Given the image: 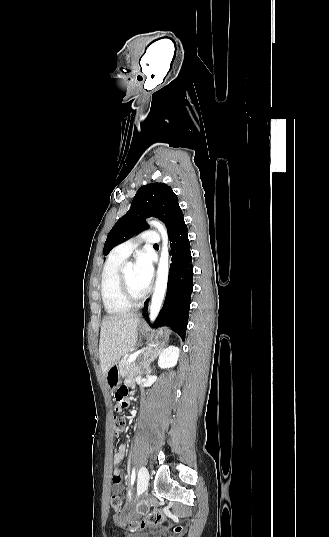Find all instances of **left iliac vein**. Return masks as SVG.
Wrapping results in <instances>:
<instances>
[{"instance_id":"4c4485c4","label":"left iliac vein","mask_w":329,"mask_h":537,"mask_svg":"<svg viewBox=\"0 0 329 537\" xmlns=\"http://www.w3.org/2000/svg\"><path fill=\"white\" fill-rule=\"evenodd\" d=\"M148 482H149L148 470L146 467L142 466L138 473V486H137L138 496L146 491L148 487Z\"/></svg>"}]
</instances>
